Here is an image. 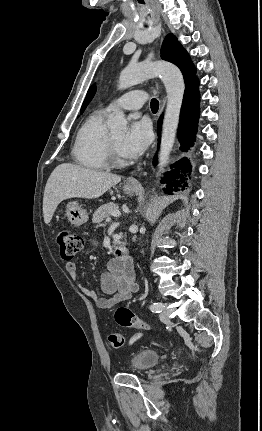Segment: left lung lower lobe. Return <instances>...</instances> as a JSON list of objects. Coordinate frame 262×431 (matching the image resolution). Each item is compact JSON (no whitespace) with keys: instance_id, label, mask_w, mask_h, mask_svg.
Segmentation results:
<instances>
[{"instance_id":"left-lung-lower-lobe-1","label":"left lung lower lobe","mask_w":262,"mask_h":431,"mask_svg":"<svg viewBox=\"0 0 262 431\" xmlns=\"http://www.w3.org/2000/svg\"><path fill=\"white\" fill-rule=\"evenodd\" d=\"M199 82L196 80L193 83L187 84L185 88L183 104L180 114V123L178 128V138L181 144V151L187 152L194 145L195 136L197 133V123L199 119V102L200 95L198 90ZM162 117L158 121V134L160 135ZM156 161V158H155ZM173 170L165 174L162 183H167L164 191L167 194H172L179 190H184L188 180L186 174L191 172L190 161L183 157L172 165Z\"/></svg>"}]
</instances>
